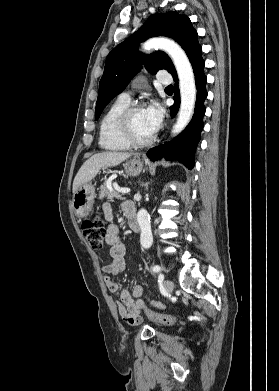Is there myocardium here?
Returning a JSON list of instances; mask_svg holds the SVG:
<instances>
[{
	"label": "myocardium",
	"instance_id": "1",
	"mask_svg": "<svg viewBox=\"0 0 279 391\" xmlns=\"http://www.w3.org/2000/svg\"><path fill=\"white\" fill-rule=\"evenodd\" d=\"M144 108V104L141 102H131L121 112L118 118V129L122 139L131 147H145L151 144L156 136L157 130L146 139H138L132 130V116L140 109Z\"/></svg>",
	"mask_w": 279,
	"mask_h": 391
}]
</instances>
